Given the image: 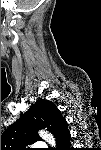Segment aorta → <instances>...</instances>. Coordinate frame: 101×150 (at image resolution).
I'll return each instance as SVG.
<instances>
[{"instance_id": "762f6f07", "label": "aorta", "mask_w": 101, "mask_h": 150, "mask_svg": "<svg viewBox=\"0 0 101 150\" xmlns=\"http://www.w3.org/2000/svg\"><path fill=\"white\" fill-rule=\"evenodd\" d=\"M40 135L42 136L43 139H45L49 144L52 146H55V139L54 137L48 133L47 131H40Z\"/></svg>"}]
</instances>
